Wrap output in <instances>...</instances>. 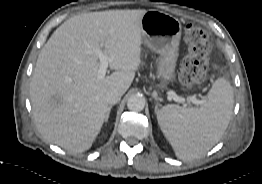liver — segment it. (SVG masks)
Returning a JSON list of instances; mask_svg holds the SVG:
<instances>
[{
  "label": "liver",
  "instance_id": "1",
  "mask_svg": "<svg viewBox=\"0 0 262 184\" xmlns=\"http://www.w3.org/2000/svg\"><path fill=\"white\" fill-rule=\"evenodd\" d=\"M146 10H109L69 18L38 55L30 82L33 117L49 142L69 152L91 148L107 117L108 91L121 96L141 63V19ZM95 49L113 58L115 72L98 77Z\"/></svg>",
  "mask_w": 262,
  "mask_h": 184
}]
</instances>
